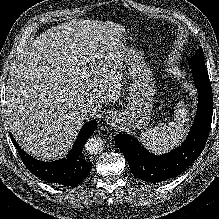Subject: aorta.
Here are the masks:
<instances>
[{
  "instance_id": "762f6f07",
  "label": "aorta",
  "mask_w": 219,
  "mask_h": 219,
  "mask_svg": "<svg viewBox=\"0 0 219 219\" xmlns=\"http://www.w3.org/2000/svg\"><path fill=\"white\" fill-rule=\"evenodd\" d=\"M85 149L89 154H100L104 150V142L100 137H91L86 141Z\"/></svg>"
}]
</instances>
